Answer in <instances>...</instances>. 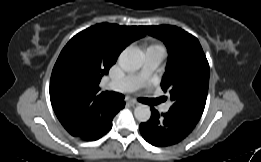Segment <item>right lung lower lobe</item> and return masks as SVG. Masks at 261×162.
<instances>
[{"mask_svg": "<svg viewBox=\"0 0 261 162\" xmlns=\"http://www.w3.org/2000/svg\"><path fill=\"white\" fill-rule=\"evenodd\" d=\"M124 105V102H116L115 107L110 111L109 115L89 125L85 133L74 136L86 141L101 138L112 128L114 116L124 107Z\"/></svg>", "mask_w": 261, "mask_h": 162, "instance_id": "98d812e1", "label": "right lung lower lobe"}]
</instances>
